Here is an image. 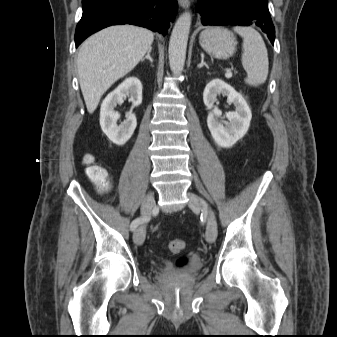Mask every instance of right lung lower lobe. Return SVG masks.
<instances>
[{
	"label": "right lung lower lobe",
	"instance_id": "1",
	"mask_svg": "<svg viewBox=\"0 0 337 337\" xmlns=\"http://www.w3.org/2000/svg\"><path fill=\"white\" fill-rule=\"evenodd\" d=\"M75 44L111 25L133 24L166 35L177 14V0H82Z\"/></svg>",
	"mask_w": 337,
	"mask_h": 337
}]
</instances>
